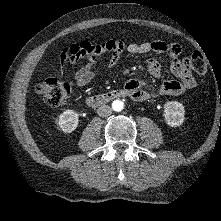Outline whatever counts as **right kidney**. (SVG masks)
Instances as JSON below:
<instances>
[{
  "mask_svg": "<svg viewBox=\"0 0 221 221\" xmlns=\"http://www.w3.org/2000/svg\"><path fill=\"white\" fill-rule=\"evenodd\" d=\"M78 113L74 110H66L59 115L57 125L64 133H71L74 131L79 122Z\"/></svg>",
  "mask_w": 221,
  "mask_h": 221,
  "instance_id": "ca27d5eb",
  "label": "right kidney"
}]
</instances>
